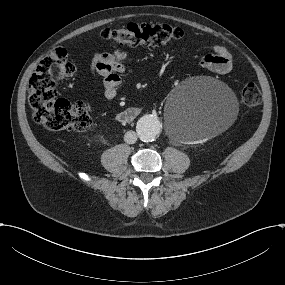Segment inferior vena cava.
<instances>
[{
    "instance_id": "inferior-vena-cava-1",
    "label": "inferior vena cava",
    "mask_w": 285,
    "mask_h": 285,
    "mask_svg": "<svg viewBox=\"0 0 285 285\" xmlns=\"http://www.w3.org/2000/svg\"><path fill=\"white\" fill-rule=\"evenodd\" d=\"M124 141L127 144H134L137 141V134L134 131H127L124 135Z\"/></svg>"
}]
</instances>
